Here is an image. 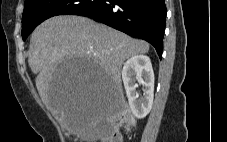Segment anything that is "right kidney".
<instances>
[{"mask_svg": "<svg viewBox=\"0 0 227 142\" xmlns=\"http://www.w3.org/2000/svg\"><path fill=\"white\" fill-rule=\"evenodd\" d=\"M122 79L133 115L138 119L144 118L150 112L154 98V73L150 58L136 55L128 59L123 66ZM136 82L143 85V97L139 99Z\"/></svg>", "mask_w": 227, "mask_h": 142, "instance_id": "right-kidney-1", "label": "right kidney"}]
</instances>
